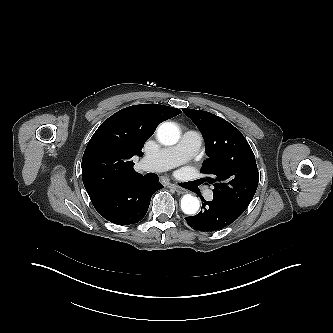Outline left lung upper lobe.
I'll return each instance as SVG.
<instances>
[{
	"mask_svg": "<svg viewBox=\"0 0 333 333\" xmlns=\"http://www.w3.org/2000/svg\"><path fill=\"white\" fill-rule=\"evenodd\" d=\"M202 133L208 159L201 173L214 183L213 194L243 210L253 199L259 181L254 153L232 124L207 111L183 109Z\"/></svg>",
	"mask_w": 333,
	"mask_h": 333,
	"instance_id": "1",
	"label": "left lung upper lobe"
}]
</instances>
